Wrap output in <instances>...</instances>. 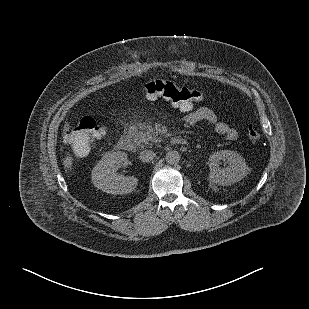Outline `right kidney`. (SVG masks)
I'll use <instances>...</instances> for the list:
<instances>
[{
	"instance_id": "right-kidney-1",
	"label": "right kidney",
	"mask_w": 309,
	"mask_h": 309,
	"mask_svg": "<svg viewBox=\"0 0 309 309\" xmlns=\"http://www.w3.org/2000/svg\"><path fill=\"white\" fill-rule=\"evenodd\" d=\"M127 156L121 151L106 155L92 171V181L95 187L103 192L115 195L133 192L138 179L134 176H122L116 173L120 164Z\"/></svg>"
}]
</instances>
